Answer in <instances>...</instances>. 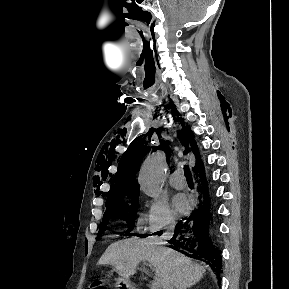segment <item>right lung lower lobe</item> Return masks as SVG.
<instances>
[{
    "label": "right lung lower lobe",
    "instance_id": "right-lung-lower-lobe-1",
    "mask_svg": "<svg viewBox=\"0 0 289 289\" xmlns=\"http://www.w3.org/2000/svg\"><path fill=\"white\" fill-rule=\"evenodd\" d=\"M196 181L197 205L189 216L177 223L175 233L169 242L178 247L177 251L191 258L204 259L216 271L219 281V274L222 273V258L214 242L216 229L209 209L210 200L204 173L197 175Z\"/></svg>",
    "mask_w": 289,
    "mask_h": 289
}]
</instances>
